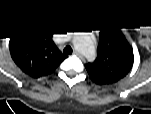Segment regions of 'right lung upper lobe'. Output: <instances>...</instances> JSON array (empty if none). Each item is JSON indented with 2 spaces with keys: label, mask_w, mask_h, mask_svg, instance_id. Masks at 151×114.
I'll return each instance as SVG.
<instances>
[{
  "label": "right lung upper lobe",
  "mask_w": 151,
  "mask_h": 114,
  "mask_svg": "<svg viewBox=\"0 0 151 114\" xmlns=\"http://www.w3.org/2000/svg\"><path fill=\"white\" fill-rule=\"evenodd\" d=\"M10 53L24 73L36 78L52 73L66 58L44 29L17 33L10 42Z\"/></svg>",
  "instance_id": "1"
}]
</instances>
